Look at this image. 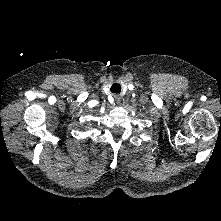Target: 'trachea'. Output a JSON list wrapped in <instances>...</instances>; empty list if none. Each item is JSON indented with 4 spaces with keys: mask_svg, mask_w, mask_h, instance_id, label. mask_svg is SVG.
<instances>
[{
    "mask_svg": "<svg viewBox=\"0 0 221 221\" xmlns=\"http://www.w3.org/2000/svg\"><path fill=\"white\" fill-rule=\"evenodd\" d=\"M111 92L112 93H116V94H119L121 92V85L118 84V83H114L112 86H111Z\"/></svg>",
    "mask_w": 221,
    "mask_h": 221,
    "instance_id": "trachea-1",
    "label": "trachea"
}]
</instances>
